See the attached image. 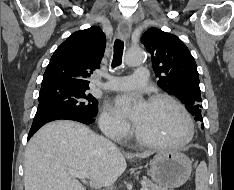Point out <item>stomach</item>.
<instances>
[{
    "mask_svg": "<svg viewBox=\"0 0 234 190\" xmlns=\"http://www.w3.org/2000/svg\"><path fill=\"white\" fill-rule=\"evenodd\" d=\"M192 171L190 159L178 151H159L150 162V177L167 190L182 186Z\"/></svg>",
    "mask_w": 234,
    "mask_h": 190,
    "instance_id": "1",
    "label": "stomach"
}]
</instances>
